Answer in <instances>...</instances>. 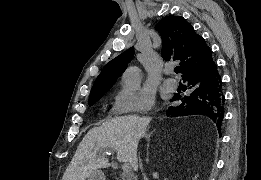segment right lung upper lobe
<instances>
[{"mask_svg": "<svg viewBox=\"0 0 261 180\" xmlns=\"http://www.w3.org/2000/svg\"><path fill=\"white\" fill-rule=\"evenodd\" d=\"M155 28L162 37L164 59L180 60V72L183 75L191 69L213 61L212 52L205 40L195 33L193 27L183 17L167 16ZM133 56L132 47L108 62L94 82L89 99L106 93L126 69Z\"/></svg>", "mask_w": 261, "mask_h": 180, "instance_id": "cb5924a9", "label": "right lung upper lobe"}]
</instances>
